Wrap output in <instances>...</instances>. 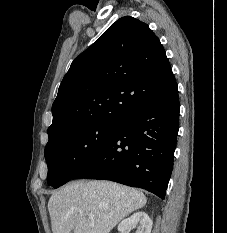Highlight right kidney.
Masks as SVG:
<instances>
[{
    "mask_svg": "<svg viewBox=\"0 0 227 233\" xmlns=\"http://www.w3.org/2000/svg\"><path fill=\"white\" fill-rule=\"evenodd\" d=\"M138 225L136 233H151L153 222L145 212H136L118 225L119 233H130L131 227Z\"/></svg>",
    "mask_w": 227,
    "mask_h": 233,
    "instance_id": "right-kidney-1",
    "label": "right kidney"
}]
</instances>
